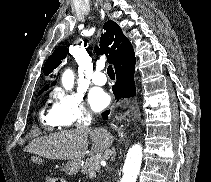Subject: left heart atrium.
Listing matches in <instances>:
<instances>
[{"label": "left heart atrium", "mask_w": 211, "mask_h": 182, "mask_svg": "<svg viewBox=\"0 0 211 182\" xmlns=\"http://www.w3.org/2000/svg\"><path fill=\"white\" fill-rule=\"evenodd\" d=\"M109 103V97L103 91H92L89 94V104L93 111H101Z\"/></svg>", "instance_id": "obj_1"}]
</instances>
